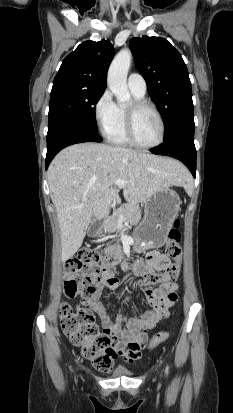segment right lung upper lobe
<instances>
[{
  "mask_svg": "<svg viewBox=\"0 0 233 413\" xmlns=\"http://www.w3.org/2000/svg\"><path fill=\"white\" fill-rule=\"evenodd\" d=\"M114 48L109 40L85 41L63 60L53 85L76 84L105 90Z\"/></svg>",
  "mask_w": 233,
  "mask_h": 413,
  "instance_id": "cb5924a9",
  "label": "right lung upper lobe"
}]
</instances>
